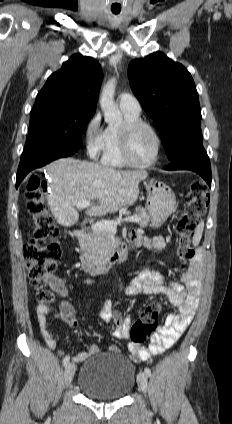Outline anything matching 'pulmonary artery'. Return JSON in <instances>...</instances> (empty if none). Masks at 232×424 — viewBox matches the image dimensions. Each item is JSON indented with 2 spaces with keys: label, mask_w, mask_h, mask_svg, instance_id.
I'll list each match as a JSON object with an SVG mask.
<instances>
[{
  "label": "pulmonary artery",
  "mask_w": 232,
  "mask_h": 424,
  "mask_svg": "<svg viewBox=\"0 0 232 424\" xmlns=\"http://www.w3.org/2000/svg\"><path fill=\"white\" fill-rule=\"evenodd\" d=\"M118 105L123 112L140 115L141 106L139 101L131 94L124 93L118 97Z\"/></svg>",
  "instance_id": "1"
}]
</instances>
